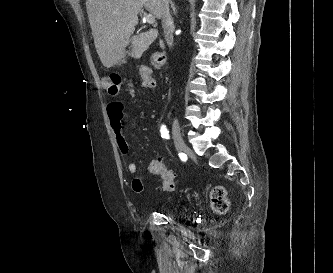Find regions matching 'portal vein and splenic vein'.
<instances>
[{"instance_id": "obj_1", "label": "portal vein and splenic vein", "mask_w": 333, "mask_h": 273, "mask_svg": "<svg viewBox=\"0 0 333 273\" xmlns=\"http://www.w3.org/2000/svg\"><path fill=\"white\" fill-rule=\"evenodd\" d=\"M143 13V11H142ZM144 15V19L148 24H154L155 23V17L153 16V14H143Z\"/></svg>"}]
</instances>
